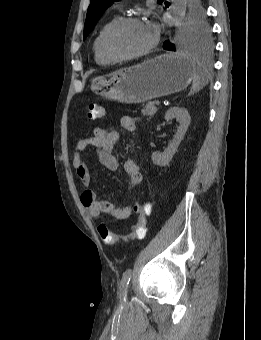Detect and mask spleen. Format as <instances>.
I'll use <instances>...</instances> for the list:
<instances>
[{
    "label": "spleen",
    "mask_w": 261,
    "mask_h": 340,
    "mask_svg": "<svg viewBox=\"0 0 261 340\" xmlns=\"http://www.w3.org/2000/svg\"><path fill=\"white\" fill-rule=\"evenodd\" d=\"M193 64H194V67H195V71H194V75H193V84H192L191 93H195V92L199 91L207 83L206 73H205L204 69L201 67L200 64H197L196 62H193Z\"/></svg>",
    "instance_id": "obj_1"
}]
</instances>
